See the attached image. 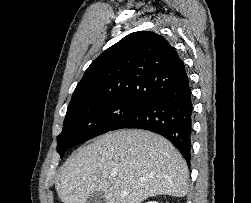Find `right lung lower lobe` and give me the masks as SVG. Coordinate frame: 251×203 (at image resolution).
<instances>
[{
  "label": "right lung lower lobe",
  "instance_id": "right-lung-lower-lobe-1",
  "mask_svg": "<svg viewBox=\"0 0 251 203\" xmlns=\"http://www.w3.org/2000/svg\"><path fill=\"white\" fill-rule=\"evenodd\" d=\"M192 116L191 89L188 77H185L179 84L144 103L111 131L138 128L158 133L171 141L190 165Z\"/></svg>",
  "mask_w": 251,
  "mask_h": 203
}]
</instances>
